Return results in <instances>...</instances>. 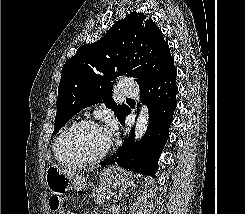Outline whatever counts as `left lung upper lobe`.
Instances as JSON below:
<instances>
[{"instance_id": "5c2ea615", "label": "left lung upper lobe", "mask_w": 245, "mask_h": 214, "mask_svg": "<svg viewBox=\"0 0 245 214\" xmlns=\"http://www.w3.org/2000/svg\"><path fill=\"white\" fill-rule=\"evenodd\" d=\"M173 64L158 26L143 13L131 12L115 22L99 41L79 47L63 65L52 135L73 115L98 100L112 108L122 122L129 107L111 99L112 81L121 75L130 76L142 89Z\"/></svg>"}]
</instances>
